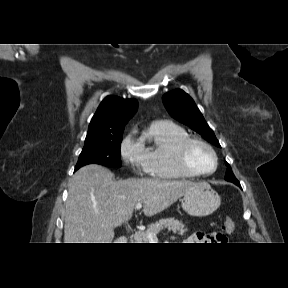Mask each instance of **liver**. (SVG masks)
Masks as SVG:
<instances>
[{"label":"liver","mask_w":288,"mask_h":288,"mask_svg":"<svg viewBox=\"0 0 288 288\" xmlns=\"http://www.w3.org/2000/svg\"><path fill=\"white\" fill-rule=\"evenodd\" d=\"M107 168L90 164L71 178L64 217L65 243H112L114 229L131 219L135 206L143 203L153 216L191 191L196 183L186 180H113Z\"/></svg>","instance_id":"liver-1"}]
</instances>
